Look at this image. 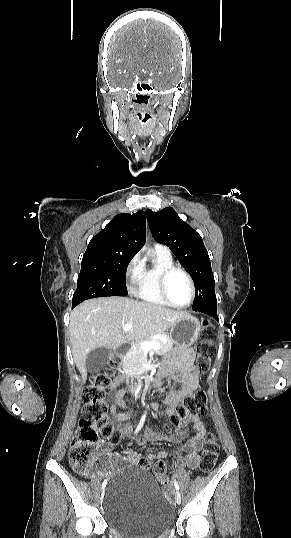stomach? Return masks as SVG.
<instances>
[{"label":"stomach","instance_id":"1","mask_svg":"<svg viewBox=\"0 0 291 538\" xmlns=\"http://www.w3.org/2000/svg\"><path fill=\"white\" fill-rule=\"evenodd\" d=\"M201 330L198 319L188 314L170 328V339L179 347H189L194 344Z\"/></svg>","mask_w":291,"mask_h":538}]
</instances>
